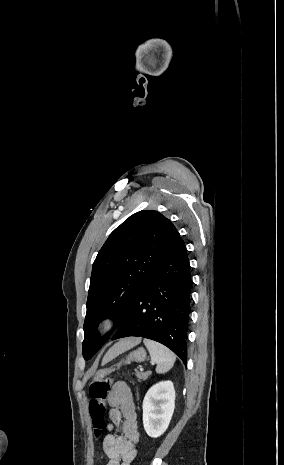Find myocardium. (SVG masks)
Listing matches in <instances>:
<instances>
[{"label":"myocardium","instance_id":"1","mask_svg":"<svg viewBox=\"0 0 284 465\" xmlns=\"http://www.w3.org/2000/svg\"><path fill=\"white\" fill-rule=\"evenodd\" d=\"M118 325V318L115 315L103 316L99 323L98 329L102 334L111 333Z\"/></svg>","mask_w":284,"mask_h":465}]
</instances>
